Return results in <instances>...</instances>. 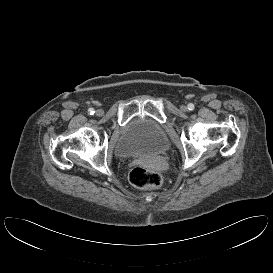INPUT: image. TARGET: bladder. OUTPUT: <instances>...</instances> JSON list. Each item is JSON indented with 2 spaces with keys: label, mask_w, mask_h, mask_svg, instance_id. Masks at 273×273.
Returning a JSON list of instances; mask_svg holds the SVG:
<instances>
[{
  "label": "bladder",
  "mask_w": 273,
  "mask_h": 273,
  "mask_svg": "<svg viewBox=\"0 0 273 273\" xmlns=\"http://www.w3.org/2000/svg\"><path fill=\"white\" fill-rule=\"evenodd\" d=\"M168 147V136L160 124L149 118L137 117L121 129L113 152L119 158L156 156L164 153Z\"/></svg>",
  "instance_id": "31cf9c89"
}]
</instances>
